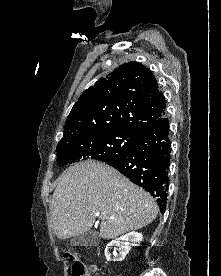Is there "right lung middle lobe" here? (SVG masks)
<instances>
[{"instance_id":"1","label":"right lung middle lobe","mask_w":221,"mask_h":276,"mask_svg":"<svg viewBox=\"0 0 221 276\" xmlns=\"http://www.w3.org/2000/svg\"><path fill=\"white\" fill-rule=\"evenodd\" d=\"M136 136L124 132L98 133L84 139L67 140L57 145V161L61 166L87 159L108 161L128 152Z\"/></svg>"}]
</instances>
